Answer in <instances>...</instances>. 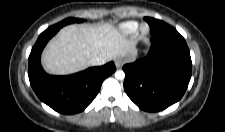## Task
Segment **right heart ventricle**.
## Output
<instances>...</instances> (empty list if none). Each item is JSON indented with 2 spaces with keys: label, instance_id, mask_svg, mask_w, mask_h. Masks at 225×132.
<instances>
[{
  "label": "right heart ventricle",
  "instance_id": "obj_1",
  "mask_svg": "<svg viewBox=\"0 0 225 132\" xmlns=\"http://www.w3.org/2000/svg\"><path fill=\"white\" fill-rule=\"evenodd\" d=\"M139 27L138 22L136 21H126L118 25L117 30L122 35H132L134 34Z\"/></svg>",
  "mask_w": 225,
  "mask_h": 132
}]
</instances>
